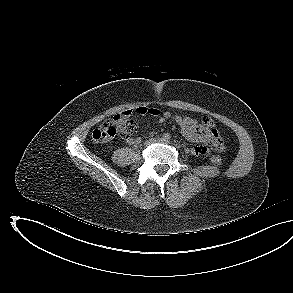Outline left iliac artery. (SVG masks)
Listing matches in <instances>:
<instances>
[{
  "label": "left iliac artery",
  "mask_w": 293,
  "mask_h": 293,
  "mask_svg": "<svg viewBox=\"0 0 293 293\" xmlns=\"http://www.w3.org/2000/svg\"><path fill=\"white\" fill-rule=\"evenodd\" d=\"M176 147H177V148H180V144H176Z\"/></svg>",
  "instance_id": "left-iliac-artery-1"
}]
</instances>
